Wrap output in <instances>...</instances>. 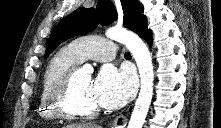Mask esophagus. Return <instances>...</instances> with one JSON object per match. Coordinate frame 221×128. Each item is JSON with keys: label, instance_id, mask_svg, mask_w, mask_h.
Segmentation results:
<instances>
[{"label": "esophagus", "instance_id": "34e87169", "mask_svg": "<svg viewBox=\"0 0 221 128\" xmlns=\"http://www.w3.org/2000/svg\"><path fill=\"white\" fill-rule=\"evenodd\" d=\"M127 124V118L124 115H119L115 118L111 128H124Z\"/></svg>", "mask_w": 221, "mask_h": 128}]
</instances>
